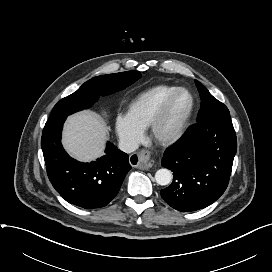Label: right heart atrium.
<instances>
[{"label": "right heart atrium", "instance_id": "obj_1", "mask_svg": "<svg viewBox=\"0 0 272 272\" xmlns=\"http://www.w3.org/2000/svg\"><path fill=\"white\" fill-rule=\"evenodd\" d=\"M115 129L124 148L132 150L136 148L144 138V132L127 114H118L115 119Z\"/></svg>", "mask_w": 272, "mask_h": 272}]
</instances>
